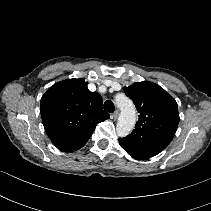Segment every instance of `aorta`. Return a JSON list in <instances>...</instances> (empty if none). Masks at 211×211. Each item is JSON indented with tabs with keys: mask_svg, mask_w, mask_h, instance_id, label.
Instances as JSON below:
<instances>
[{
	"mask_svg": "<svg viewBox=\"0 0 211 211\" xmlns=\"http://www.w3.org/2000/svg\"><path fill=\"white\" fill-rule=\"evenodd\" d=\"M121 113L117 121V135L125 137L133 130L136 123V109L133 102L125 95H120L115 99Z\"/></svg>",
	"mask_w": 211,
	"mask_h": 211,
	"instance_id": "762f6f07",
	"label": "aorta"
}]
</instances>
